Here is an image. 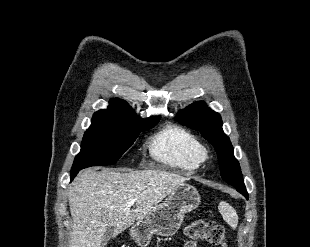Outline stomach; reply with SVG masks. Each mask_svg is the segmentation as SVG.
I'll return each mask as SVG.
<instances>
[{
  "label": "stomach",
  "mask_w": 310,
  "mask_h": 247,
  "mask_svg": "<svg viewBox=\"0 0 310 247\" xmlns=\"http://www.w3.org/2000/svg\"><path fill=\"white\" fill-rule=\"evenodd\" d=\"M200 195L187 183L178 184L167 199L153 208L149 215L136 221L131 230L132 240L139 247H147L153 234L163 237L174 235L181 227L185 214L200 204Z\"/></svg>",
  "instance_id": "1"
}]
</instances>
